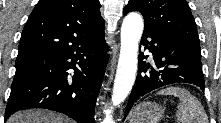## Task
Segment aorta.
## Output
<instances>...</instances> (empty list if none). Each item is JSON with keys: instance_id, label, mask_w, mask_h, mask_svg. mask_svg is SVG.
I'll return each mask as SVG.
<instances>
[{"instance_id": "aorta-1", "label": "aorta", "mask_w": 221, "mask_h": 123, "mask_svg": "<svg viewBox=\"0 0 221 123\" xmlns=\"http://www.w3.org/2000/svg\"><path fill=\"white\" fill-rule=\"evenodd\" d=\"M143 27L142 17L137 13H129L123 20L120 56L112 93L113 105H119L126 99L135 82L138 43Z\"/></svg>"}]
</instances>
